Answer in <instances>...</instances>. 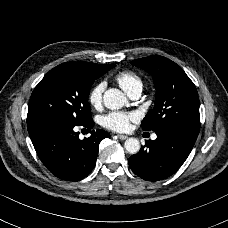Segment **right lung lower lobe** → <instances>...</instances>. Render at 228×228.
Here are the masks:
<instances>
[{
  "label": "right lung lower lobe",
  "instance_id": "1",
  "mask_svg": "<svg viewBox=\"0 0 228 228\" xmlns=\"http://www.w3.org/2000/svg\"><path fill=\"white\" fill-rule=\"evenodd\" d=\"M75 126L91 129L93 120L76 125L62 119H43L27 124L34 148L45 167L56 177L77 181L86 177L95 167L100 142L109 138L104 130H92L91 136L79 139Z\"/></svg>",
  "mask_w": 228,
  "mask_h": 228
}]
</instances>
